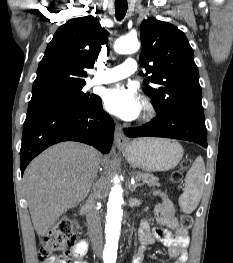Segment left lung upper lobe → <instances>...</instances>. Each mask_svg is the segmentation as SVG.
<instances>
[{
  "mask_svg": "<svg viewBox=\"0 0 233 263\" xmlns=\"http://www.w3.org/2000/svg\"><path fill=\"white\" fill-rule=\"evenodd\" d=\"M141 41L140 64L150 74L144 92L153 100L157 115L180 108L203 109L199 72L184 33L170 23L148 18L141 24Z\"/></svg>",
  "mask_w": 233,
  "mask_h": 263,
  "instance_id": "obj_1",
  "label": "left lung upper lobe"
}]
</instances>
